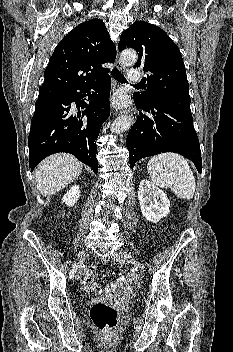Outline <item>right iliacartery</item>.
Wrapping results in <instances>:
<instances>
[{
    "instance_id": "82829eb1",
    "label": "right iliac artery",
    "mask_w": 233,
    "mask_h": 352,
    "mask_svg": "<svg viewBox=\"0 0 233 352\" xmlns=\"http://www.w3.org/2000/svg\"><path fill=\"white\" fill-rule=\"evenodd\" d=\"M77 268H78V264H77V263H74V264L72 265V268H71L70 272H69L70 279H73V277L75 276V273H76V271H77Z\"/></svg>"
}]
</instances>
